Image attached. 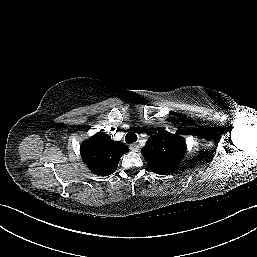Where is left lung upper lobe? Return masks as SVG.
Listing matches in <instances>:
<instances>
[{"instance_id":"obj_1","label":"left lung upper lobe","mask_w":257,"mask_h":257,"mask_svg":"<svg viewBox=\"0 0 257 257\" xmlns=\"http://www.w3.org/2000/svg\"><path fill=\"white\" fill-rule=\"evenodd\" d=\"M185 150L183 138L163 130L148 139L141 153L153 172L169 174L180 163Z\"/></svg>"}]
</instances>
